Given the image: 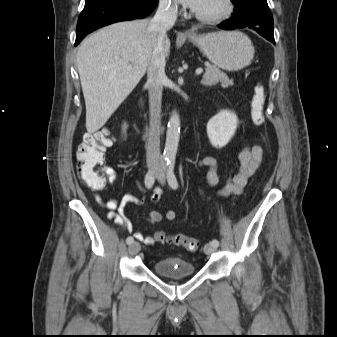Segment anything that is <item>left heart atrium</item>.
<instances>
[{
  "label": "left heart atrium",
  "instance_id": "left-heart-atrium-1",
  "mask_svg": "<svg viewBox=\"0 0 337 337\" xmlns=\"http://www.w3.org/2000/svg\"><path fill=\"white\" fill-rule=\"evenodd\" d=\"M178 1L183 5L188 6L194 10H197L203 2V0H178Z\"/></svg>",
  "mask_w": 337,
  "mask_h": 337
}]
</instances>
